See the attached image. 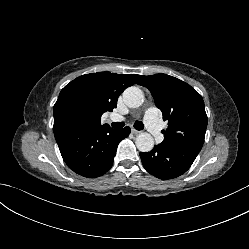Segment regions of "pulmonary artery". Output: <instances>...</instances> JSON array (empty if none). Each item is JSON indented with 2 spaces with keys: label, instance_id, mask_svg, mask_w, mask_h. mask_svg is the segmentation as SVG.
I'll list each match as a JSON object with an SVG mask.
<instances>
[{
  "label": "pulmonary artery",
  "instance_id": "1",
  "mask_svg": "<svg viewBox=\"0 0 249 249\" xmlns=\"http://www.w3.org/2000/svg\"><path fill=\"white\" fill-rule=\"evenodd\" d=\"M144 124L153 138L161 143L163 141V134L158 118V110L155 107H150L144 112Z\"/></svg>",
  "mask_w": 249,
  "mask_h": 249
}]
</instances>
